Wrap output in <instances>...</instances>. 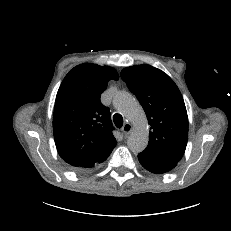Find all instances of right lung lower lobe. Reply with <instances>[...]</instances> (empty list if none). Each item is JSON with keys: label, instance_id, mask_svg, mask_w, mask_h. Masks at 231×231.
I'll return each mask as SVG.
<instances>
[{"label": "right lung lower lobe", "instance_id": "1", "mask_svg": "<svg viewBox=\"0 0 231 231\" xmlns=\"http://www.w3.org/2000/svg\"><path fill=\"white\" fill-rule=\"evenodd\" d=\"M109 155L105 156L104 158H102L101 160H99L96 163L83 164V165L76 166V168L77 169L91 168V167H93V166H95V165H97V164L102 163L103 161H105L108 158Z\"/></svg>", "mask_w": 231, "mask_h": 231}]
</instances>
